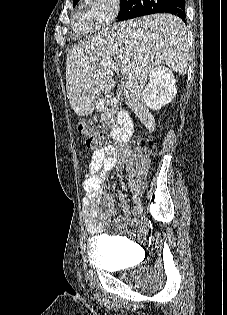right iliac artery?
Returning a JSON list of instances; mask_svg holds the SVG:
<instances>
[{
    "label": "right iliac artery",
    "instance_id": "1",
    "mask_svg": "<svg viewBox=\"0 0 227 315\" xmlns=\"http://www.w3.org/2000/svg\"><path fill=\"white\" fill-rule=\"evenodd\" d=\"M133 200H134V203H137L139 201L138 197L135 195L133 196Z\"/></svg>",
    "mask_w": 227,
    "mask_h": 315
}]
</instances>
